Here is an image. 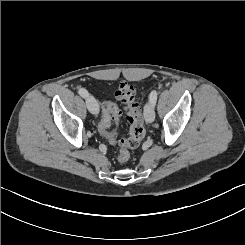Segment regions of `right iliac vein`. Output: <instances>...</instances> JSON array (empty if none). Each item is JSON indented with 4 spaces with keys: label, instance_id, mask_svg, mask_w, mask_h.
<instances>
[{
    "label": "right iliac vein",
    "instance_id": "obj_1",
    "mask_svg": "<svg viewBox=\"0 0 245 245\" xmlns=\"http://www.w3.org/2000/svg\"><path fill=\"white\" fill-rule=\"evenodd\" d=\"M86 105H87L88 110L92 114L98 115L99 106H98V103H97L96 99L92 95H88L86 97Z\"/></svg>",
    "mask_w": 245,
    "mask_h": 245
}]
</instances>
